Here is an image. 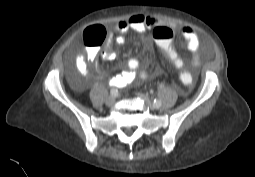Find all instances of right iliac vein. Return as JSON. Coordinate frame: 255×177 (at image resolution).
I'll list each match as a JSON object with an SVG mask.
<instances>
[{
  "label": "right iliac vein",
  "mask_w": 255,
  "mask_h": 177,
  "mask_svg": "<svg viewBox=\"0 0 255 177\" xmlns=\"http://www.w3.org/2000/svg\"><path fill=\"white\" fill-rule=\"evenodd\" d=\"M115 101H116V98L114 96H109L106 99L105 104H106V106L111 107L114 105Z\"/></svg>",
  "instance_id": "obj_1"
}]
</instances>
